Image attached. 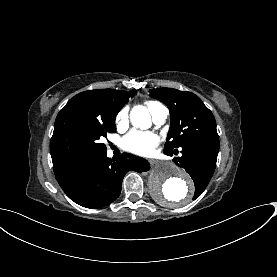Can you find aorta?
<instances>
[{
  "mask_svg": "<svg viewBox=\"0 0 277 277\" xmlns=\"http://www.w3.org/2000/svg\"><path fill=\"white\" fill-rule=\"evenodd\" d=\"M130 119L133 126L148 129L151 119L148 110L135 106ZM149 189L153 198L161 204L184 205L193 195L194 187L191 178L179 166L172 162H157L149 177Z\"/></svg>",
  "mask_w": 277,
  "mask_h": 277,
  "instance_id": "obj_1",
  "label": "aorta"
}]
</instances>
